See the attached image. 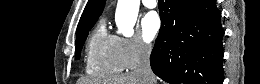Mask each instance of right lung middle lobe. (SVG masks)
Returning a JSON list of instances; mask_svg holds the SVG:
<instances>
[{"mask_svg":"<svg viewBox=\"0 0 260 84\" xmlns=\"http://www.w3.org/2000/svg\"><path fill=\"white\" fill-rule=\"evenodd\" d=\"M95 24V22L93 24H91L88 28H86L84 31H82L77 37H76V49H75V56L77 59H79L80 57V53L82 50V46L84 44V41L88 35V32L90 31V29L93 27V25Z\"/></svg>","mask_w":260,"mask_h":84,"instance_id":"right-lung-middle-lobe-1","label":"right lung middle lobe"}]
</instances>
